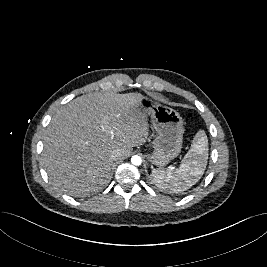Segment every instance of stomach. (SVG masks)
<instances>
[{
    "label": "stomach",
    "mask_w": 267,
    "mask_h": 267,
    "mask_svg": "<svg viewBox=\"0 0 267 267\" xmlns=\"http://www.w3.org/2000/svg\"><path fill=\"white\" fill-rule=\"evenodd\" d=\"M138 105L145 117H150L157 133L154 151L149 155V160L152 164L163 167L181 152L183 120L174 109L148 97L141 96Z\"/></svg>",
    "instance_id": "1"
}]
</instances>
